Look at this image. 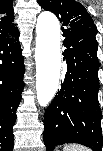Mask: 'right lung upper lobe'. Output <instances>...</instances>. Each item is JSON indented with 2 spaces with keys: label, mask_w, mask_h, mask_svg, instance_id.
I'll list each match as a JSON object with an SVG mask.
<instances>
[{
  "label": "right lung upper lobe",
  "mask_w": 103,
  "mask_h": 151,
  "mask_svg": "<svg viewBox=\"0 0 103 151\" xmlns=\"http://www.w3.org/2000/svg\"><path fill=\"white\" fill-rule=\"evenodd\" d=\"M12 7V0L0 1V36L10 35L14 31H17V28L13 24L14 11Z\"/></svg>",
  "instance_id": "right-lung-upper-lobe-1"
}]
</instances>
